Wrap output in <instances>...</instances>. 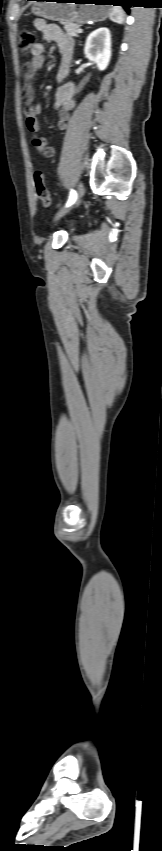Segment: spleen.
Returning <instances> with one entry per match:
<instances>
[{"label": "spleen", "mask_w": 162, "mask_h": 851, "mask_svg": "<svg viewBox=\"0 0 162 851\" xmlns=\"http://www.w3.org/2000/svg\"><path fill=\"white\" fill-rule=\"evenodd\" d=\"M124 11L121 7L111 6V11L109 14V18L111 21L122 24L124 22Z\"/></svg>", "instance_id": "3e777b00"}]
</instances>
